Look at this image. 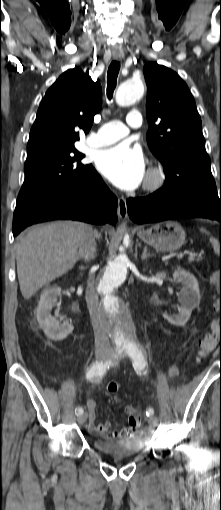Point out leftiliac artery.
<instances>
[{
    "label": "left iliac artery",
    "mask_w": 221,
    "mask_h": 510,
    "mask_svg": "<svg viewBox=\"0 0 221 510\" xmlns=\"http://www.w3.org/2000/svg\"><path fill=\"white\" fill-rule=\"evenodd\" d=\"M127 353L129 357L132 359L133 367L136 372H141L147 365V361L145 358L144 352L135 344L130 345L127 348ZM154 414L153 408L149 407L146 410V415L148 417Z\"/></svg>",
    "instance_id": "1"
}]
</instances>
